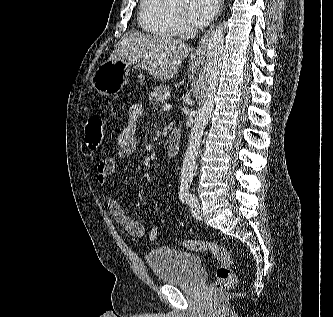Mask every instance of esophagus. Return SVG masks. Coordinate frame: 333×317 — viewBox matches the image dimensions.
<instances>
[{
    "mask_svg": "<svg viewBox=\"0 0 333 317\" xmlns=\"http://www.w3.org/2000/svg\"><path fill=\"white\" fill-rule=\"evenodd\" d=\"M223 1L224 0H219V13L218 15H220L221 10H222V6H223ZM214 28V24L211 25V27L207 30V32L204 34V36L202 37L201 41L199 42L196 50L193 53V57L195 59H202L205 57V53L207 50V45H208V40L209 37L213 31Z\"/></svg>",
    "mask_w": 333,
    "mask_h": 317,
    "instance_id": "1",
    "label": "esophagus"
}]
</instances>
